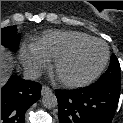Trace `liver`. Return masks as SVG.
I'll return each mask as SVG.
<instances>
[{
    "instance_id": "1",
    "label": "liver",
    "mask_w": 123,
    "mask_h": 123,
    "mask_svg": "<svg viewBox=\"0 0 123 123\" xmlns=\"http://www.w3.org/2000/svg\"><path fill=\"white\" fill-rule=\"evenodd\" d=\"M13 69L12 54L1 46V87L6 83Z\"/></svg>"
}]
</instances>
